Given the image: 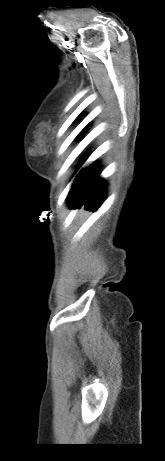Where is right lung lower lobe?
<instances>
[{
	"label": "right lung lower lobe",
	"instance_id": "right-lung-lower-lobe-1",
	"mask_svg": "<svg viewBox=\"0 0 165 461\" xmlns=\"http://www.w3.org/2000/svg\"><path fill=\"white\" fill-rule=\"evenodd\" d=\"M100 173V167L97 163H93L79 172L67 199L71 209L85 205L87 209L96 211L100 207L107 187L106 182L100 178Z\"/></svg>",
	"mask_w": 165,
	"mask_h": 461
}]
</instances>
